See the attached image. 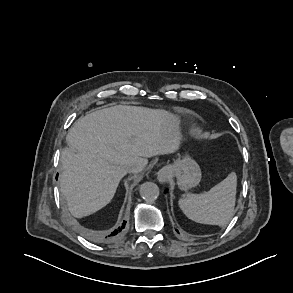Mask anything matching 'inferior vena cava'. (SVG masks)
Listing matches in <instances>:
<instances>
[{"mask_svg":"<svg viewBox=\"0 0 293 293\" xmlns=\"http://www.w3.org/2000/svg\"><path fill=\"white\" fill-rule=\"evenodd\" d=\"M140 169H141L140 164H134V165L129 166L128 171L129 172H138V171H140Z\"/></svg>","mask_w":293,"mask_h":293,"instance_id":"inferior-vena-cava-1","label":"inferior vena cava"}]
</instances>
